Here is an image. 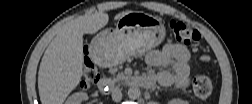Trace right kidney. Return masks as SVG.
<instances>
[{"instance_id": "obj_1", "label": "right kidney", "mask_w": 252, "mask_h": 104, "mask_svg": "<svg viewBox=\"0 0 252 104\" xmlns=\"http://www.w3.org/2000/svg\"><path fill=\"white\" fill-rule=\"evenodd\" d=\"M88 97L85 92H77L72 94L66 101V104H81L82 101L86 100Z\"/></svg>"}]
</instances>
